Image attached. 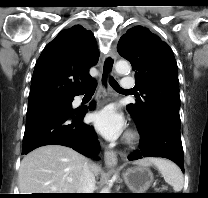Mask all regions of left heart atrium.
I'll list each match as a JSON object with an SVG mask.
<instances>
[{"label": "left heart atrium", "instance_id": "1", "mask_svg": "<svg viewBox=\"0 0 208 198\" xmlns=\"http://www.w3.org/2000/svg\"><path fill=\"white\" fill-rule=\"evenodd\" d=\"M92 122L97 131L110 140L118 138L125 128L124 117L113 106L94 113Z\"/></svg>", "mask_w": 208, "mask_h": 198}]
</instances>
